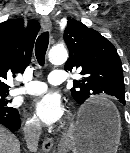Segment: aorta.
<instances>
[{
  "instance_id": "1",
  "label": "aorta",
  "mask_w": 130,
  "mask_h": 153,
  "mask_svg": "<svg viewBox=\"0 0 130 153\" xmlns=\"http://www.w3.org/2000/svg\"><path fill=\"white\" fill-rule=\"evenodd\" d=\"M49 61L53 64H63L67 61L68 53L64 47H52L48 53Z\"/></svg>"
}]
</instances>
